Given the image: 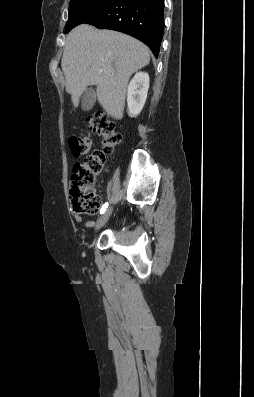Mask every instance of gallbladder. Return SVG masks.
<instances>
[{
    "instance_id": "gallbladder-1",
    "label": "gallbladder",
    "mask_w": 254,
    "mask_h": 397,
    "mask_svg": "<svg viewBox=\"0 0 254 397\" xmlns=\"http://www.w3.org/2000/svg\"><path fill=\"white\" fill-rule=\"evenodd\" d=\"M95 101V90L92 87L86 88L81 100L82 109L86 111L90 110L94 106Z\"/></svg>"
}]
</instances>
